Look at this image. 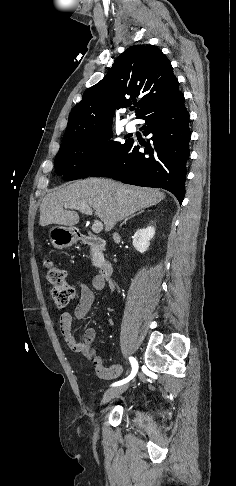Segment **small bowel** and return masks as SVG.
<instances>
[{"instance_id":"obj_1","label":"small bowel","mask_w":236,"mask_h":486,"mask_svg":"<svg viewBox=\"0 0 236 486\" xmlns=\"http://www.w3.org/2000/svg\"><path fill=\"white\" fill-rule=\"evenodd\" d=\"M92 284L94 289L101 290L105 286V281H102L99 276H96ZM73 289L79 290L80 298L73 315L69 312H63L60 315L59 326L63 339L71 352L84 355L94 365L98 377L104 380L115 379L120 376L123 368L119 364L109 367L102 364L101 358L93 346L96 338L95 329L92 327L87 328L81 340L77 339L72 331L73 318L77 320L84 319L95 299L93 290L80 281L75 284Z\"/></svg>"}]
</instances>
